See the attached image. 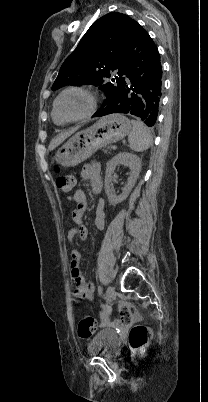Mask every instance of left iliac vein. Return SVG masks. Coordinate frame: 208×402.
Returning a JSON list of instances; mask_svg holds the SVG:
<instances>
[{
    "instance_id": "1",
    "label": "left iliac vein",
    "mask_w": 208,
    "mask_h": 402,
    "mask_svg": "<svg viewBox=\"0 0 208 402\" xmlns=\"http://www.w3.org/2000/svg\"><path fill=\"white\" fill-rule=\"evenodd\" d=\"M115 297H116V292H115L114 287L109 286L107 288V291H106V299H107V301L111 302V301H113L115 299Z\"/></svg>"
}]
</instances>
